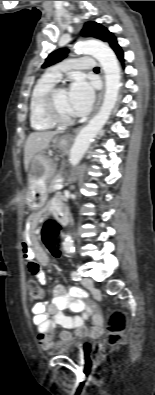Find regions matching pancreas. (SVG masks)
I'll return each mask as SVG.
<instances>
[{
	"label": "pancreas",
	"mask_w": 155,
	"mask_h": 395,
	"mask_svg": "<svg viewBox=\"0 0 155 395\" xmlns=\"http://www.w3.org/2000/svg\"><path fill=\"white\" fill-rule=\"evenodd\" d=\"M59 179H60V175H55L48 181L47 191L49 193L54 192L56 190L54 188V185L59 181Z\"/></svg>",
	"instance_id": "obj_1"
}]
</instances>
